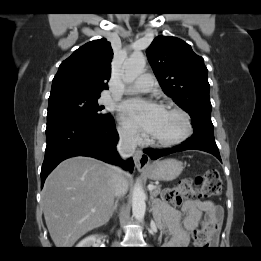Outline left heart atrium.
<instances>
[{
    "instance_id": "obj_1",
    "label": "left heart atrium",
    "mask_w": 261,
    "mask_h": 261,
    "mask_svg": "<svg viewBox=\"0 0 261 261\" xmlns=\"http://www.w3.org/2000/svg\"><path fill=\"white\" fill-rule=\"evenodd\" d=\"M124 121L131 127L151 135L161 118L163 109L141 99H130L120 106Z\"/></svg>"
}]
</instances>
